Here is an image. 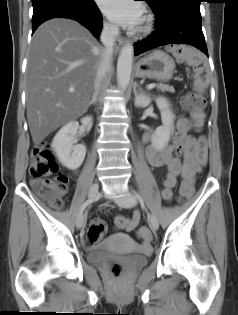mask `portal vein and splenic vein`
Instances as JSON below:
<instances>
[{"label":"portal vein and splenic vein","instance_id":"1","mask_svg":"<svg viewBox=\"0 0 238 315\" xmlns=\"http://www.w3.org/2000/svg\"><path fill=\"white\" fill-rule=\"evenodd\" d=\"M155 87V84H149L148 86H147V88L148 89H151V88H154ZM69 92H74V88H69Z\"/></svg>","mask_w":238,"mask_h":315}]
</instances>
